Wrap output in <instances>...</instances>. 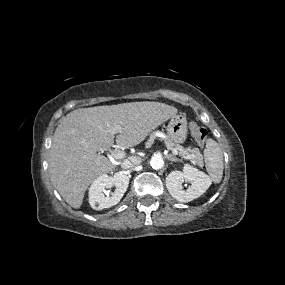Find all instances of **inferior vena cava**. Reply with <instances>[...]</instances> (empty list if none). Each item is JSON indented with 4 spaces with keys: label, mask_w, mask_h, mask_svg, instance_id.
Returning <instances> with one entry per match:
<instances>
[{
    "label": "inferior vena cava",
    "mask_w": 285,
    "mask_h": 285,
    "mask_svg": "<svg viewBox=\"0 0 285 285\" xmlns=\"http://www.w3.org/2000/svg\"><path fill=\"white\" fill-rule=\"evenodd\" d=\"M140 162H141V159L139 157L132 156V157H129V158L123 160V162L121 163V168L129 169L131 167H134V166L140 164Z\"/></svg>",
    "instance_id": "1"
}]
</instances>
